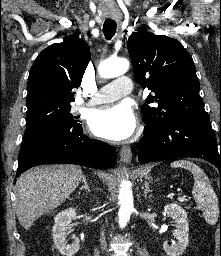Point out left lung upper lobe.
<instances>
[{"label": "left lung upper lobe", "mask_w": 221, "mask_h": 256, "mask_svg": "<svg viewBox=\"0 0 221 256\" xmlns=\"http://www.w3.org/2000/svg\"><path fill=\"white\" fill-rule=\"evenodd\" d=\"M127 47L136 81L153 92L141 108L146 125L162 127L208 116L193 60L180 42L142 30L131 34Z\"/></svg>", "instance_id": "obj_1"}]
</instances>
